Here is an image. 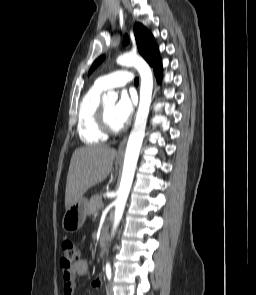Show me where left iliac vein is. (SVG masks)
Returning a JSON list of instances; mask_svg holds the SVG:
<instances>
[{
	"mask_svg": "<svg viewBox=\"0 0 256 295\" xmlns=\"http://www.w3.org/2000/svg\"><path fill=\"white\" fill-rule=\"evenodd\" d=\"M107 293H108V295H114V293H113V283L112 282H110L108 284Z\"/></svg>",
	"mask_w": 256,
	"mask_h": 295,
	"instance_id": "obj_1",
	"label": "left iliac vein"
}]
</instances>
